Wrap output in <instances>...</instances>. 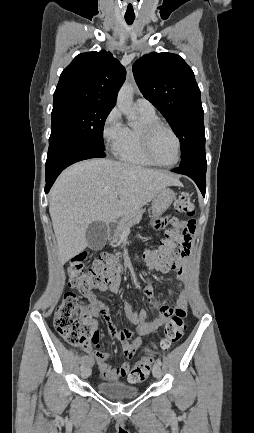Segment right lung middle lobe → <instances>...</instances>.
I'll use <instances>...</instances> for the list:
<instances>
[{"mask_svg": "<svg viewBox=\"0 0 254 433\" xmlns=\"http://www.w3.org/2000/svg\"><path fill=\"white\" fill-rule=\"evenodd\" d=\"M111 110V107L93 102L70 101L53 105L49 141L66 134L104 151L103 128Z\"/></svg>", "mask_w": 254, "mask_h": 433, "instance_id": "right-lung-middle-lobe-1", "label": "right lung middle lobe"}]
</instances>
